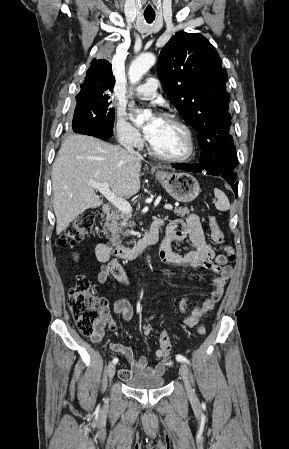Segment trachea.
I'll use <instances>...</instances> for the list:
<instances>
[{"mask_svg": "<svg viewBox=\"0 0 289 449\" xmlns=\"http://www.w3.org/2000/svg\"><path fill=\"white\" fill-rule=\"evenodd\" d=\"M147 23H152L155 19V13H144Z\"/></svg>", "mask_w": 289, "mask_h": 449, "instance_id": "trachea-1", "label": "trachea"}]
</instances>
